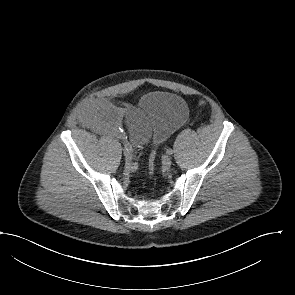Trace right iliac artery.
Instances as JSON below:
<instances>
[{
  "label": "right iliac artery",
  "instance_id": "right-iliac-artery-1",
  "mask_svg": "<svg viewBox=\"0 0 295 295\" xmlns=\"http://www.w3.org/2000/svg\"><path fill=\"white\" fill-rule=\"evenodd\" d=\"M124 150H127V151H130L132 153V147L131 145L127 142V141H124Z\"/></svg>",
  "mask_w": 295,
  "mask_h": 295
}]
</instances>
